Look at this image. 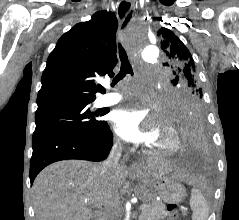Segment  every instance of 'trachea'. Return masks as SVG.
<instances>
[{"instance_id":"trachea-1","label":"trachea","mask_w":239,"mask_h":220,"mask_svg":"<svg viewBox=\"0 0 239 220\" xmlns=\"http://www.w3.org/2000/svg\"><path fill=\"white\" fill-rule=\"evenodd\" d=\"M131 17H132V11L126 17V19L123 23V27L129 22ZM119 57H120V60H121V68H120V72L118 73V75H116V77H114V79L112 81V84H111L112 86H114L120 80H122L126 76V74L133 75V69H132L131 64L128 60V56L126 54L125 49L122 47L121 44H119Z\"/></svg>"}]
</instances>
